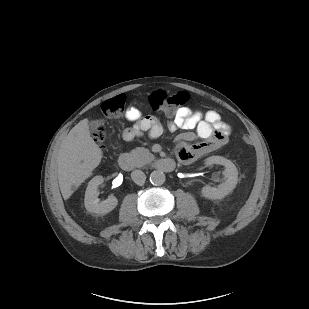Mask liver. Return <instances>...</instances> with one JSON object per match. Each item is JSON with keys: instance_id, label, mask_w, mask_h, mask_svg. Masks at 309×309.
Segmentation results:
<instances>
[{"instance_id": "6515ba94", "label": "liver", "mask_w": 309, "mask_h": 309, "mask_svg": "<svg viewBox=\"0 0 309 309\" xmlns=\"http://www.w3.org/2000/svg\"><path fill=\"white\" fill-rule=\"evenodd\" d=\"M101 159L102 150L90 136L88 119H83L70 130L57 154L58 181L64 200L92 175Z\"/></svg>"}]
</instances>
